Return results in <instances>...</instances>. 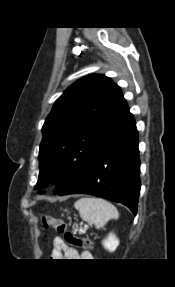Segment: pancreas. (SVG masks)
I'll list each match as a JSON object with an SVG mask.
<instances>
[{"label":"pancreas","mask_w":175,"mask_h":287,"mask_svg":"<svg viewBox=\"0 0 175 287\" xmlns=\"http://www.w3.org/2000/svg\"><path fill=\"white\" fill-rule=\"evenodd\" d=\"M87 229H88L87 227H84L82 230H80V233L81 234L86 233Z\"/></svg>","instance_id":"1"}]
</instances>
